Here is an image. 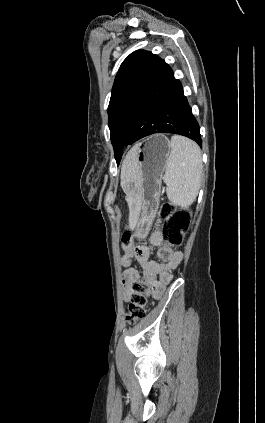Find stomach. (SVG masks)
Returning <instances> with one entry per match:
<instances>
[{"mask_svg": "<svg viewBox=\"0 0 265 423\" xmlns=\"http://www.w3.org/2000/svg\"><path fill=\"white\" fill-rule=\"evenodd\" d=\"M171 152L169 139L162 134L147 137L135 146L139 180L135 189L142 199V212L137 224V236L149 231L159 207L161 180Z\"/></svg>", "mask_w": 265, "mask_h": 423, "instance_id": "obj_1", "label": "stomach"}]
</instances>
